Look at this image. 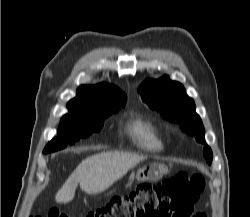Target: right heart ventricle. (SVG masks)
Wrapping results in <instances>:
<instances>
[{"instance_id":"obj_1","label":"right heart ventricle","mask_w":250,"mask_h":217,"mask_svg":"<svg viewBox=\"0 0 250 217\" xmlns=\"http://www.w3.org/2000/svg\"><path fill=\"white\" fill-rule=\"evenodd\" d=\"M126 133L132 143L139 149L160 152L164 149L162 136L156 126L140 118H134L126 125Z\"/></svg>"}]
</instances>
